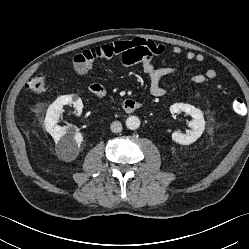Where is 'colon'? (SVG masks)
<instances>
[{
    "mask_svg": "<svg viewBox=\"0 0 249 249\" xmlns=\"http://www.w3.org/2000/svg\"><path fill=\"white\" fill-rule=\"evenodd\" d=\"M47 78L44 73H38L27 82V89L33 93L41 94L46 90ZM246 109L245 103L242 99L236 98L232 101V110L234 113L241 115Z\"/></svg>",
    "mask_w": 249,
    "mask_h": 249,
    "instance_id": "obj_1",
    "label": "colon"
}]
</instances>
